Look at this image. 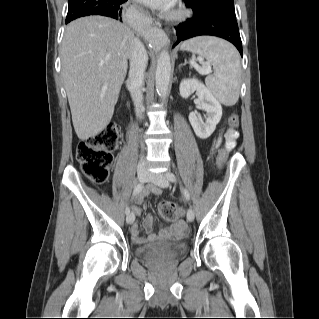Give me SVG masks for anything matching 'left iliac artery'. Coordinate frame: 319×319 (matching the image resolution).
<instances>
[{
  "mask_svg": "<svg viewBox=\"0 0 319 319\" xmlns=\"http://www.w3.org/2000/svg\"><path fill=\"white\" fill-rule=\"evenodd\" d=\"M166 176H167L168 180H170L171 182H176V181H177L176 176H175L173 173H171V172H168V173L166 174ZM182 192H183L184 198H185L187 201H189V200H190V194H189V192H188L186 189H184V188L182 189Z\"/></svg>",
  "mask_w": 319,
  "mask_h": 319,
  "instance_id": "obj_1",
  "label": "left iliac artery"
}]
</instances>
